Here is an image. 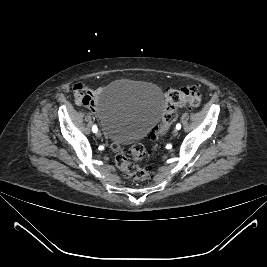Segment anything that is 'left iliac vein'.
I'll return each mask as SVG.
<instances>
[{
  "instance_id": "left-iliac-vein-1",
  "label": "left iliac vein",
  "mask_w": 267,
  "mask_h": 267,
  "mask_svg": "<svg viewBox=\"0 0 267 267\" xmlns=\"http://www.w3.org/2000/svg\"><path fill=\"white\" fill-rule=\"evenodd\" d=\"M178 133H179V131L177 129H175L172 134H173V136H177Z\"/></svg>"
}]
</instances>
